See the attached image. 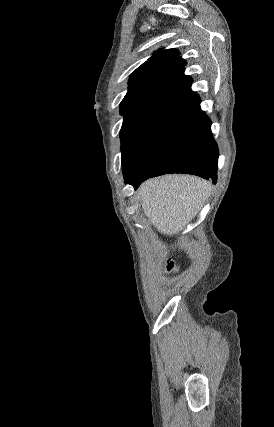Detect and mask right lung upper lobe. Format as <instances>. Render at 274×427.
Listing matches in <instances>:
<instances>
[{
    "label": "right lung upper lobe",
    "mask_w": 274,
    "mask_h": 427,
    "mask_svg": "<svg viewBox=\"0 0 274 427\" xmlns=\"http://www.w3.org/2000/svg\"><path fill=\"white\" fill-rule=\"evenodd\" d=\"M176 49L160 50L141 66L129 79V89L120 107L148 101L160 100L176 105L190 99L192 79L184 75L186 61Z\"/></svg>",
    "instance_id": "obj_1"
}]
</instances>
